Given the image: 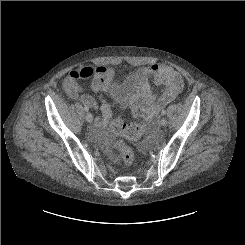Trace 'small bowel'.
<instances>
[{
	"instance_id": "1",
	"label": "small bowel",
	"mask_w": 245,
	"mask_h": 245,
	"mask_svg": "<svg viewBox=\"0 0 245 245\" xmlns=\"http://www.w3.org/2000/svg\"><path fill=\"white\" fill-rule=\"evenodd\" d=\"M113 69L105 66L82 67L72 70L64 82V88L68 96L73 99H79L83 104L90 107L95 106L93 97L82 93L79 80H88L92 78L91 87L102 100L101 112L96 120V127L104 129L110 122L112 110L109 104L103 101L108 93L110 83L113 77ZM137 83V91L142 98L143 110H148L153 106L156 110L176 99L183 89V81L180 74L171 66L161 63H152L147 66L137 68L134 72ZM151 79L157 87H163L161 93H156L151 84ZM116 160V156H112Z\"/></svg>"
}]
</instances>
